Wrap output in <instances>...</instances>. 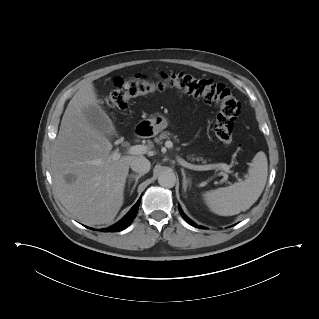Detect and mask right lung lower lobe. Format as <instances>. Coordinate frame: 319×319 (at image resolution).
<instances>
[{
	"mask_svg": "<svg viewBox=\"0 0 319 319\" xmlns=\"http://www.w3.org/2000/svg\"><path fill=\"white\" fill-rule=\"evenodd\" d=\"M140 200H141V198L137 201V203L131 208V210L128 212V214L122 220H120L118 223H116L115 225H113L109 228L102 229L101 231H103V232H118V231L125 229L128 225L131 224V222L135 218L137 211H138V208H139Z\"/></svg>",
	"mask_w": 319,
	"mask_h": 319,
	"instance_id": "right-lung-lower-lobe-1",
	"label": "right lung lower lobe"
}]
</instances>
